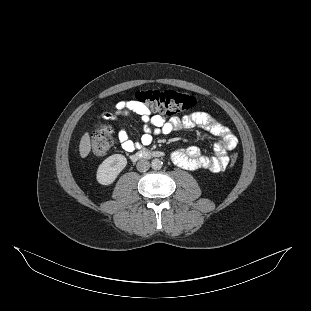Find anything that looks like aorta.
<instances>
[{"label": "aorta", "mask_w": 311, "mask_h": 311, "mask_svg": "<svg viewBox=\"0 0 311 311\" xmlns=\"http://www.w3.org/2000/svg\"><path fill=\"white\" fill-rule=\"evenodd\" d=\"M162 166H163V162L158 158H155L151 161V167L154 170H160Z\"/></svg>", "instance_id": "762f6f07"}]
</instances>
